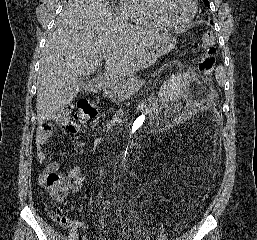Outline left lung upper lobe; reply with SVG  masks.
Listing matches in <instances>:
<instances>
[{"mask_svg":"<svg viewBox=\"0 0 257 240\" xmlns=\"http://www.w3.org/2000/svg\"><path fill=\"white\" fill-rule=\"evenodd\" d=\"M204 4H205L206 6H209L208 0H204Z\"/></svg>","mask_w":257,"mask_h":240,"instance_id":"obj_1","label":"left lung upper lobe"}]
</instances>
